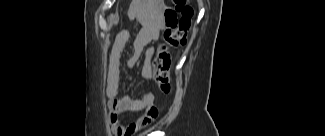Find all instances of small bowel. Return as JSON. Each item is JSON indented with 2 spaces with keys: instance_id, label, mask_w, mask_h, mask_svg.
<instances>
[{
  "instance_id": "1",
  "label": "small bowel",
  "mask_w": 325,
  "mask_h": 136,
  "mask_svg": "<svg viewBox=\"0 0 325 136\" xmlns=\"http://www.w3.org/2000/svg\"><path fill=\"white\" fill-rule=\"evenodd\" d=\"M161 28V18L152 17L144 23L142 29L133 41V56L129 60V64L133 65L136 63L145 50L142 76L147 81L152 78L151 60L154 54V49L147 46L158 39ZM128 40L129 33L127 31H121L117 35L111 49L106 78L105 93L110 109V123L113 132L117 136H132L149 126L157 116V109L154 106L155 97L152 92L145 93L141 98H135L129 95L124 97L118 96L120 60ZM128 111H142L143 115L136 121L123 125L119 121V115Z\"/></svg>"
}]
</instances>
